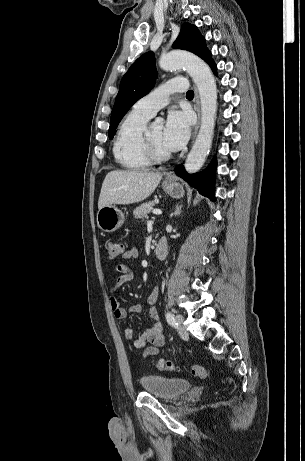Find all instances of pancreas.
<instances>
[{"instance_id":"obj_1","label":"pancreas","mask_w":305,"mask_h":461,"mask_svg":"<svg viewBox=\"0 0 305 461\" xmlns=\"http://www.w3.org/2000/svg\"><path fill=\"white\" fill-rule=\"evenodd\" d=\"M155 206L154 201H149L138 206L134 211L133 215L136 219H144L148 217V214Z\"/></svg>"}]
</instances>
